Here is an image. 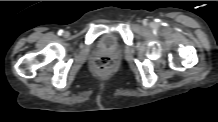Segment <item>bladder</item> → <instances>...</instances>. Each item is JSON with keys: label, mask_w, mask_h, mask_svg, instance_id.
<instances>
[{"label": "bladder", "mask_w": 218, "mask_h": 122, "mask_svg": "<svg viewBox=\"0 0 218 122\" xmlns=\"http://www.w3.org/2000/svg\"><path fill=\"white\" fill-rule=\"evenodd\" d=\"M118 45V39L115 35H104L99 40V46L104 49H113Z\"/></svg>", "instance_id": "obj_1"}]
</instances>
